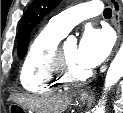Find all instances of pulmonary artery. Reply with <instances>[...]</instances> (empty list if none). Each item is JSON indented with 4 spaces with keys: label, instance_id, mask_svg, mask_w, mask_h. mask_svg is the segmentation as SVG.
<instances>
[{
    "label": "pulmonary artery",
    "instance_id": "pulmonary-artery-1",
    "mask_svg": "<svg viewBox=\"0 0 123 113\" xmlns=\"http://www.w3.org/2000/svg\"><path fill=\"white\" fill-rule=\"evenodd\" d=\"M101 11L102 2L100 1L79 4L51 18L48 26L66 35L76 24L98 15Z\"/></svg>",
    "mask_w": 123,
    "mask_h": 113
}]
</instances>
